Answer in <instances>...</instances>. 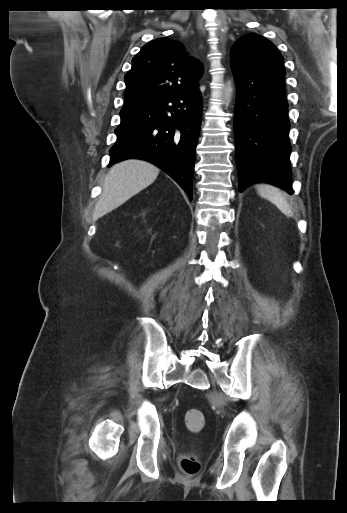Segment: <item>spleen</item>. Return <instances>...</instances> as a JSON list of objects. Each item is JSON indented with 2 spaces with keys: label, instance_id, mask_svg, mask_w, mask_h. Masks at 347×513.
I'll return each instance as SVG.
<instances>
[{
  "label": "spleen",
  "instance_id": "obj_1",
  "mask_svg": "<svg viewBox=\"0 0 347 513\" xmlns=\"http://www.w3.org/2000/svg\"><path fill=\"white\" fill-rule=\"evenodd\" d=\"M257 192L259 196L275 204L285 215L292 216L291 207L278 188L268 184H260Z\"/></svg>",
  "mask_w": 347,
  "mask_h": 513
}]
</instances>
